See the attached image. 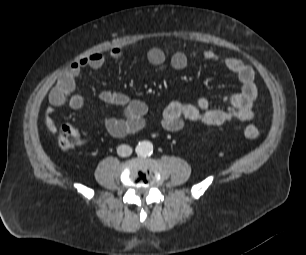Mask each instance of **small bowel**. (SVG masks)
I'll list each match as a JSON object with an SVG mask.
<instances>
[{
  "mask_svg": "<svg viewBox=\"0 0 306 255\" xmlns=\"http://www.w3.org/2000/svg\"><path fill=\"white\" fill-rule=\"evenodd\" d=\"M113 60H120L123 52L115 47L109 52ZM204 60L222 64L230 73L234 74L241 84L238 92L227 97V109H212L208 99L200 97L195 103L173 101L169 103L161 117L162 127L171 132L181 131L187 122H201L210 126H219L231 121H249L254 118L253 104L257 97L254 70L235 57H222L212 50L201 53ZM147 60L155 66L164 64L167 60L166 53L153 47L147 52ZM170 65L176 70L184 69L188 64L187 55L182 51L174 52L169 58ZM106 56L102 53H93L72 62L58 76L55 85L48 94L50 106L46 109L45 126L50 132L57 130L52 117L55 108L67 104L74 110L84 106V98L74 93L76 78L82 70H99L104 67ZM103 103L116 105L123 110L121 118H108L103 125L106 131L114 137H123L135 133L143 128L145 116L148 112L147 105L136 99L129 98L125 93L113 90H104L99 94Z\"/></svg>",
  "mask_w": 306,
  "mask_h": 255,
  "instance_id": "obj_1",
  "label": "small bowel"
}]
</instances>
